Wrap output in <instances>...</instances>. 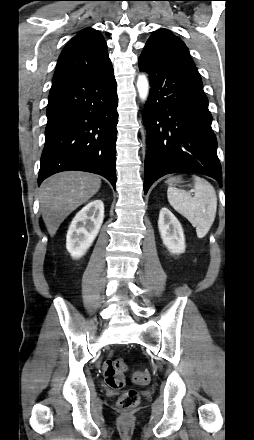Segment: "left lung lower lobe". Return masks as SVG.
<instances>
[{
  "instance_id": "obj_1",
  "label": "left lung lower lobe",
  "mask_w": 254,
  "mask_h": 440,
  "mask_svg": "<svg viewBox=\"0 0 254 440\" xmlns=\"http://www.w3.org/2000/svg\"><path fill=\"white\" fill-rule=\"evenodd\" d=\"M150 96L143 110L147 131L144 192L169 173L195 172L222 184L217 140L201 78L190 68L141 55Z\"/></svg>"
}]
</instances>
